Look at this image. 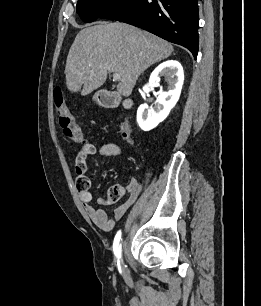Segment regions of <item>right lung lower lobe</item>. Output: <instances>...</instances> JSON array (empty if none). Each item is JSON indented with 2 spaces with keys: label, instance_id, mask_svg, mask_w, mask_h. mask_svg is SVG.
I'll use <instances>...</instances> for the list:
<instances>
[{
  "label": "right lung lower lobe",
  "instance_id": "1",
  "mask_svg": "<svg viewBox=\"0 0 261 306\" xmlns=\"http://www.w3.org/2000/svg\"><path fill=\"white\" fill-rule=\"evenodd\" d=\"M99 18L122 21L198 53L197 0H121Z\"/></svg>",
  "mask_w": 261,
  "mask_h": 306
}]
</instances>
